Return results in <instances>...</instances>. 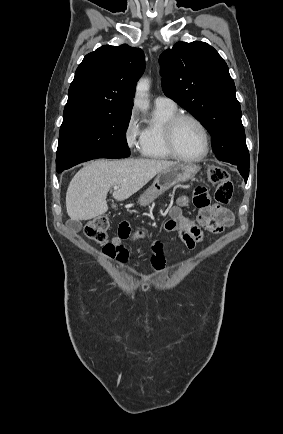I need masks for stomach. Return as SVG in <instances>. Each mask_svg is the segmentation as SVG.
<instances>
[{
	"label": "stomach",
	"mask_w": 283,
	"mask_h": 434,
	"mask_svg": "<svg viewBox=\"0 0 283 434\" xmlns=\"http://www.w3.org/2000/svg\"><path fill=\"white\" fill-rule=\"evenodd\" d=\"M200 167L190 163H177L158 173L152 185L139 197L138 202L142 206L149 205L159 195L178 183H183L193 178Z\"/></svg>",
	"instance_id": "0dacf381"
}]
</instances>
